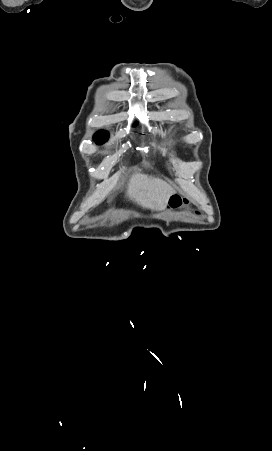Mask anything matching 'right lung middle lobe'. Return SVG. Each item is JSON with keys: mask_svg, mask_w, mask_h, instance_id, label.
Wrapping results in <instances>:
<instances>
[{"mask_svg": "<svg viewBox=\"0 0 272 451\" xmlns=\"http://www.w3.org/2000/svg\"><path fill=\"white\" fill-rule=\"evenodd\" d=\"M137 124H135L134 126H136ZM108 138V132L106 131H99L95 134L94 136V140L96 142V144H102L104 143Z\"/></svg>", "mask_w": 272, "mask_h": 451, "instance_id": "right-lung-middle-lobe-1", "label": "right lung middle lobe"}]
</instances>
